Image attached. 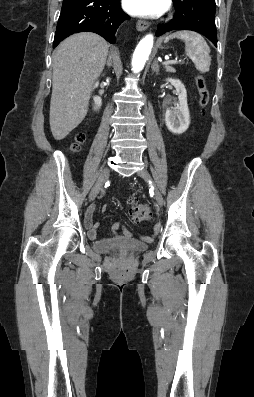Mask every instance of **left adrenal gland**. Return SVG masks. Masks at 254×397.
Masks as SVG:
<instances>
[{
	"label": "left adrenal gland",
	"mask_w": 254,
	"mask_h": 397,
	"mask_svg": "<svg viewBox=\"0 0 254 397\" xmlns=\"http://www.w3.org/2000/svg\"><path fill=\"white\" fill-rule=\"evenodd\" d=\"M151 70H152L153 73L158 74V72H159V65H158L157 59H155V60L153 61V64H152V66H151Z\"/></svg>",
	"instance_id": "a2214340"
}]
</instances>
